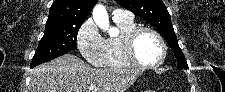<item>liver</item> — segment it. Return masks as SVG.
<instances>
[{"mask_svg":"<svg viewBox=\"0 0 225 92\" xmlns=\"http://www.w3.org/2000/svg\"><path fill=\"white\" fill-rule=\"evenodd\" d=\"M142 74L139 69H96L73 54L37 66L31 72L30 92H125Z\"/></svg>","mask_w":225,"mask_h":92,"instance_id":"6515ba94","label":"liver"}]
</instances>
